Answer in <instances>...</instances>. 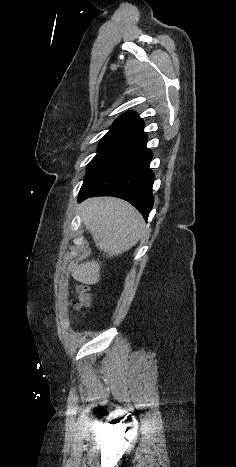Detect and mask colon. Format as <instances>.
<instances>
[{"instance_id":"colon-1","label":"colon","mask_w":236,"mask_h":467,"mask_svg":"<svg viewBox=\"0 0 236 467\" xmlns=\"http://www.w3.org/2000/svg\"><path fill=\"white\" fill-rule=\"evenodd\" d=\"M76 291H77L78 297L73 303L74 307L77 310H81V309L88 307L91 303V298H90L88 287L85 285H78L76 287Z\"/></svg>"}]
</instances>
